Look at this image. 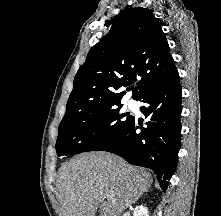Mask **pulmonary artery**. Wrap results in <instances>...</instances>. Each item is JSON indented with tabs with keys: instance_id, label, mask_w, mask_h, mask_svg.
<instances>
[{
	"instance_id": "e3ab8cb5",
	"label": "pulmonary artery",
	"mask_w": 221,
	"mask_h": 216,
	"mask_svg": "<svg viewBox=\"0 0 221 216\" xmlns=\"http://www.w3.org/2000/svg\"><path fill=\"white\" fill-rule=\"evenodd\" d=\"M128 106H129L130 108H135V107H136V102L131 99V100L128 101Z\"/></svg>"
}]
</instances>
